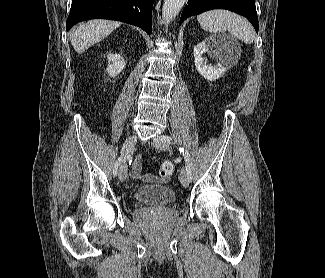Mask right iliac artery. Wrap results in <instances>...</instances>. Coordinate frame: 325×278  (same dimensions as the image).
<instances>
[{
    "instance_id": "obj_1",
    "label": "right iliac artery",
    "mask_w": 325,
    "mask_h": 278,
    "mask_svg": "<svg viewBox=\"0 0 325 278\" xmlns=\"http://www.w3.org/2000/svg\"><path fill=\"white\" fill-rule=\"evenodd\" d=\"M122 161H123L122 156H120V157L116 160V162H115V164H114V167H113V175H114V176L117 175V173H118V168H119V166H120V164H121Z\"/></svg>"
}]
</instances>
